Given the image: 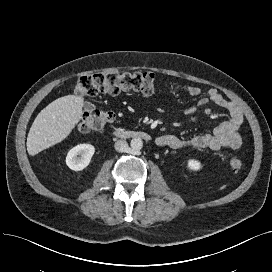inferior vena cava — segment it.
<instances>
[{"label": "inferior vena cava", "mask_w": 272, "mask_h": 272, "mask_svg": "<svg viewBox=\"0 0 272 272\" xmlns=\"http://www.w3.org/2000/svg\"><path fill=\"white\" fill-rule=\"evenodd\" d=\"M114 147L118 152H126L128 149V144L125 140H118L115 142Z\"/></svg>", "instance_id": "obj_1"}]
</instances>
